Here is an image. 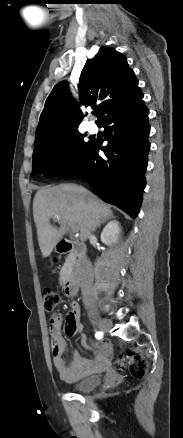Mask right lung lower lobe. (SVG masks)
Segmentation results:
<instances>
[{"label": "right lung lower lobe", "mask_w": 183, "mask_h": 438, "mask_svg": "<svg viewBox=\"0 0 183 438\" xmlns=\"http://www.w3.org/2000/svg\"><path fill=\"white\" fill-rule=\"evenodd\" d=\"M143 94L119 106L99 123L105 128L100 157V146L91 141L78 157L56 176H78L85 179L104 201L117 205L132 218L139 212L141 194L145 187L144 173L150 144L148 109Z\"/></svg>", "instance_id": "98d812e1"}]
</instances>
